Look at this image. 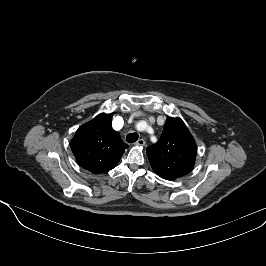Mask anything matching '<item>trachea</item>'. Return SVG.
<instances>
[{"label":"trachea","instance_id":"3493384b","mask_svg":"<svg viewBox=\"0 0 266 266\" xmlns=\"http://www.w3.org/2000/svg\"><path fill=\"white\" fill-rule=\"evenodd\" d=\"M139 135L137 133H129L127 136H126V141L128 143H134L135 141H137Z\"/></svg>","mask_w":266,"mask_h":266}]
</instances>
